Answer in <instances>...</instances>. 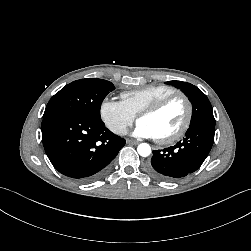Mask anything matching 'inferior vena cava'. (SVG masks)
I'll list each match as a JSON object with an SVG mask.
<instances>
[{
    "instance_id": "1",
    "label": "inferior vena cava",
    "mask_w": 251,
    "mask_h": 251,
    "mask_svg": "<svg viewBox=\"0 0 251 251\" xmlns=\"http://www.w3.org/2000/svg\"><path fill=\"white\" fill-rule=\"evenodd\" d=\"M116 133L117 134H120V135H126L127 134V128L122 126V127H119L117 130H116Z\"/></svg>"
}]
</instances>
